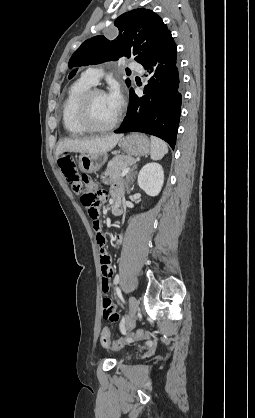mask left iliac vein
<instances>
[{"label": "left iliac vein", "instance_id": "obj_1", "mask_svg": "<svg viewBox=\"0 0 255 418\" xmlns=\"http://www.w3.org/2000/svg\"><path fill=\"white\" fill-rule=\"evenodd\" d=\"M138 308H139V306H138L137 299L134 296H130L129 297V319L127 321L128 325L133 321V319H134V317H135V315L138 311Z\"/></svg>", "mask_w": 255, "mask_h": 418}]
</instances>
